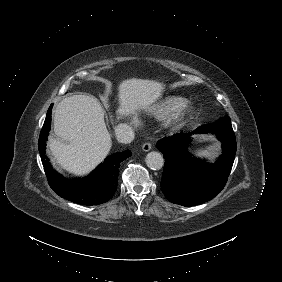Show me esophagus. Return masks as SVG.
<instances>
[{"label":"esophagus","instance_id":"obj_1","mask_svg":"<svg viewBox=\"0 0 282 282\" xmlns=\"http://www.w3.org/2000/svg\"><path fill=\"white\" fill-rule=\"evenodd\" d=\"M142 149L143 151H149L151 149V143L150 142L144 143Z\"/></svg>","mask_w":282,"mask_h":282}]
</instances>
